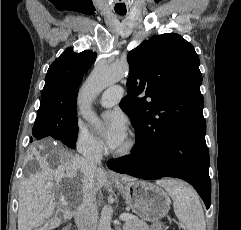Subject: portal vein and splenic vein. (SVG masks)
<instances>
[{
    "mask_svg": "<svg viewBox=\"0 0 241 230\" xmlns=\"http://www.w3.org/2000/svg\"><path fill=\"white\" fill-rule=\"evenodd\" d=\"M133 217L134 216L129 213H123L120 215V219L124 220V221L131 220V219H133Z\"/></svg>",
    "mask_w": 241,
    "mask_h": 230,
    "instance_id": "18ae733b",
    "label": "portal vein and splenic vein"
}]
</instances>
